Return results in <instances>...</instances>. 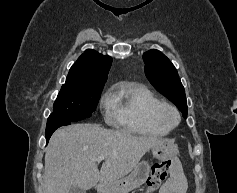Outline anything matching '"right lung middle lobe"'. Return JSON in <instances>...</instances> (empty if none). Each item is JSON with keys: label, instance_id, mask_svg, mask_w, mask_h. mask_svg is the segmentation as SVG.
<instances>
[{"label": "right lung middle lobe", "instance_id": "1", "mask_svg": "<svg viewBox=\"0 0 237 193\" xmlns=\"http://www.w3.org/2000/svg\"><path fill=\"white\" fill-rule=\"evenodd\" d=\"M102 89L103 87L63 84L49 117H59L71 122L90 117L96 109Z\"/></svg>", "mask_w": 237, "mask_h": 193}]
</instances>
